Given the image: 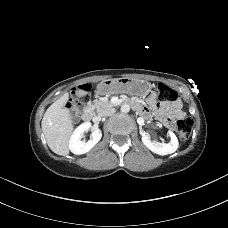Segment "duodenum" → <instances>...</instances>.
<instances>
[{
  "mask_svg": "<svg viewBox=\"0 0 228 228\" xmlns=\"http://www.w3.org/2000/svg\"><path fill=\"white\" fill-rule=\"evenodd\" d=\"M128 104L135 106L136 104L134 103V101H130L128 102ZM93 118V112L91 109H87L85 111L82 112L81 114V119L85 122L91 121Z\"/></svg>",
  "mask_w": 228,
  "mask_h": 228,
  "instance_id": "obj_1",
  "label": "duodenum"
}]
</instances>
